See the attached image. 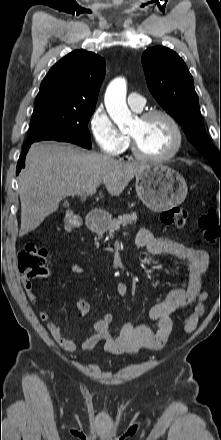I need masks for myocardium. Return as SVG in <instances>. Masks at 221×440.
<instances>
[{
  "label": "myocardium",
  "instance_id": "obj_1",
  "mask_svg": "<svg viewBox=\"0 0 221 440\" xmlns=\"http://www.w3.org/2000/svg\"><path fill=\"white\" fill-rule=\"evenodd\" d=\"M156 116L164 117L171 124L173 131H174V134H175L174 146L167 154H164L161 156H151V155H147V154L143 153L140 150L135 138L130 135L131 150H132L133 155L137 159H140L143 161H149V162H165V161H168V160L172 159L173 157H175L182 148V145H183L182 129L180 127V124L176 120V118L170 112H168L164 109H152V110H149V111L142 113L140 116V119L141 120H148V119L156 117Z\"/></svg>",
  "mask_w": 221,
  "mask_h": 440
}]
</instances>
